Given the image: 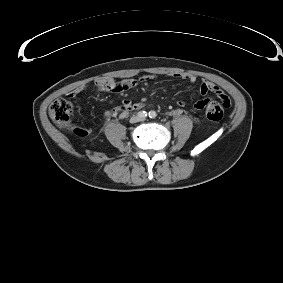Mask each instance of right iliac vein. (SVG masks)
Returning a JSON list of instances; mask_svg holds the SVG:
<instances>
[{
  "instance_id": "1",
  "label": "right iliac vein",
  "mask_w": 283,
  "mask_h": 283,
  "mask_svg": "<svg viewBox=\"0 0 283 283\" xmlns=\"http://www.w3.org/2000/svg\"><path fill=\"white\" fill-rule=\"evenodd\" d=\"M136 120H137L136 118H133V119H131V122L134 123V122H136Z\"/></svg>"
}]
</instances>
